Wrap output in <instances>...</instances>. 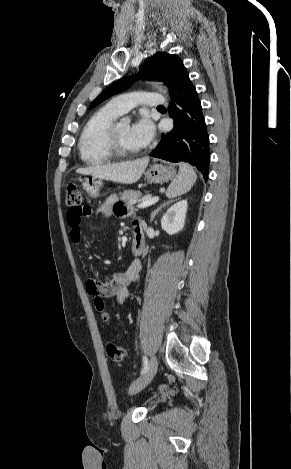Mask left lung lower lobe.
Wrapping results in <instances>:
<instances>
[{
	"label": "left lung lower lobe",
	"mask_w": 291,
	"mask_h": 469,
	"mask_svg": "<svg viewBox=\"0 0 291 469\" xmlns=\"http://www.w3.org/2000/svg\"><path fill=\"white\" fill-rule=\"evenodd\" d=\"M169 114L174 128L163 134L150 156L171 162L185 161L195 166L205 180L208 178L210 152L209 135L198 93L185 72L170 93Z\"/></svg>",
	"instance_id": "left-lung-lower-lobe-1"
}]
</instances>
